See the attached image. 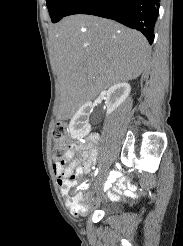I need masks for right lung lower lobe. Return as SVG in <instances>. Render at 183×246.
<instances>
[{"mask_svg":"<svg viewBox=\"0 0 183 246\" xmlns=\"http://www.w3.org/2000/svg\"><path fill=\"white\" fill-rule=\"evenodd\" d=\"M159 6L160 0H77L65 16L89 14L113 19L140 31L152 44Z\"/></svg>","mask_w":183,"mask_h":246,"instance_id":"1","label":"right lung lower lobe"}]
</instances>
